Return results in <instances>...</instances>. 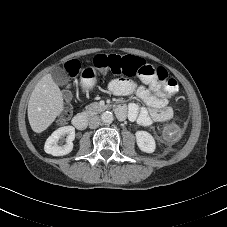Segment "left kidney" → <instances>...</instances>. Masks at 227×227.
Instances as JSON below:
<instances>
[{
  "instance_id": "left-kidney-1",
  "label": "left kidney",
  "mask_w": 227,
  "mask_h": 227,
  "mask_svg": "<svg viewBox=\"0 0 227 227\" xmlns=\"http://www.w3.org/2000/svg\"><path fill=\"white\" fill-rule=\"evenodd\" d=\"M136 142L139 149L146 153H153L156 148V143L153 136L147 131H137L135 133Z\"/></svg>"
}]
</instances>
